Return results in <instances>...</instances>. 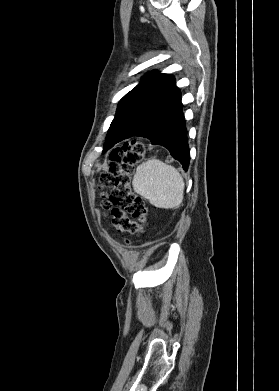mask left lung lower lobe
Here are the masks:
<instances>
[{"label":"left lung lower lobe","instance_id":"obj_1","mask_svg":"<svg viewBox=\"0 0 279 391\" xmlns=\"http://www.w3.org/2000/svg\"><path fill=\"white\" fill-rule=\"evenodd\" d=\"M134 136L145 137L153 145L164 146L182 164L183 169L188 170L190 153L181 99Z\"/></svg>","mask_w":279,"mask_h":391}]
</instances>
